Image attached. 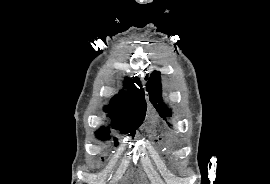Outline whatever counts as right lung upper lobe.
Segmentation results:
<instances>
[{
    "instance_id": "1",
    "label": "right lung upper lobe",
    "mask_w": 270,
    "mask_h": 184,
    "mask_svg": "<svg viewBox=\"0 0 270 184\" xmlns=\"http://www.w3.org/2000/svg\"><path fill=\"white\" fill-rule=\"evenodd\" d=\"M138 79L126 78L124 83L128 90H120L111 99V103L106 111L111 113L112 125H132L144 119L146 112V102L143 88L137 89L134 83L138 84Z\"/></svg>"
}]
</instances>
